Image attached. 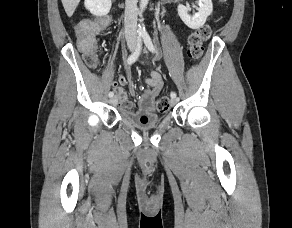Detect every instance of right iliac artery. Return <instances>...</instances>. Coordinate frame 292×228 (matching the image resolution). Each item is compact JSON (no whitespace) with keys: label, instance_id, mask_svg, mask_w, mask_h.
Returning <instances> with one entry per match:
<instances>
[{"label":"right iliac artery","instance_id":"obj_1","mask_svg":"<svg viewBox=\"0 0 292 228\" xmlns=\"http://www.w3.org/2000/svg\"><path fill=\"white\" fill-rule=\"evenodd\" d=\"M141 46H142V42H141V36L138 37L137 39V47L135 49V51L128 57L126 63L128 65L133 64L139 57L140 55V51H141ZM114 93L111 91L109 92V97H113Z\"/></svg>","mask_w":292,"mask_h":228}]
</instances>
